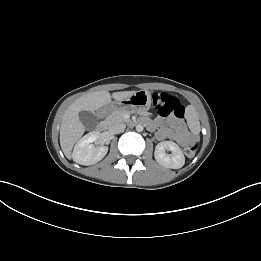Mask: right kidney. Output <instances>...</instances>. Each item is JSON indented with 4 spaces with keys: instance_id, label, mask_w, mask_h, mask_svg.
<instances>
[{
    "instance_id": "right-kidney-1",
    "label": "right kidney",
    "mask_w": 261,
    "mask_h": 261,
    "mask_svg": "<svg viewBox=\"0 0 261 261\" xmlns=\"http://www.w3.org/2000/svg\"><path fill=\"white\" fill-rule=\"evenodd\" d=\"M100 133L91 132L83 136L75 145L72 158L80 165H93L104 158L108 152V147H95L92 143L97 141Z\"/></svg>"
}]
</instances>
